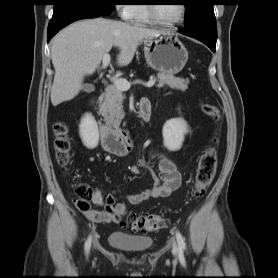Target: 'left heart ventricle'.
<instances>
[{"instance_id":"1","label":"left heart ventricle","mask_w":278,"mask_h":278,"mask_svg":"<svg viewBox=\"0 0 278 278\" xmlns=\"http://www.w3.org/2000/svg\"><path fill=\"white\" fill-rule=\"evenodd\" d=\"M156 16L163 22L170 23L178 19L181 11L180 4H164L154 7Z\"/></svg>"}]
</instances>
